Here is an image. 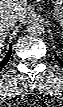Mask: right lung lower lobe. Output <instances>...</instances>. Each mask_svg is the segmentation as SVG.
<instances>
[{
  "label": "right lung lower lobe",
  "instance_id": "1",
  "mask_svg": "<svg viewBox=\"0 0 63 107\" xmlns=\"http://www.w3.org/2000/svg\"><path fill=\"white\" fill-rule=\"evenodd\" d=\"M12 53V48L11 46L9 47L8 53L6 54L5 58L3 60L0 61V70L2 67H4L6 65V63L8 62L10 55Z\"/></svg>",
  "mask_w": 63,
  "mask_h": 107
}]
</instances>
